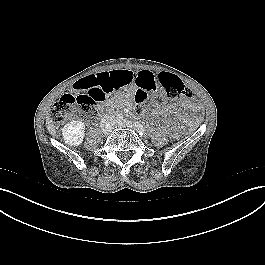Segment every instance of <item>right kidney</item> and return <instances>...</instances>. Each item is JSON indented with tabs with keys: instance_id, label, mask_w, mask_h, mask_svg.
Returning a JSON list of instances; mask_svg holds the SVG:
<instances>
[{
	"instance_id": "obj_1",
	"label": "right kidney",
	"mask_w": 265,
	"mask_h": 265,
	"mask_svg": "<svg viewBox=\"0 0 265 265\" xmlns=\"http://www.w3.org/2000/svg\"><path fill=\"white\" fill-rule=\"evenodd\" d=\"M63 139L70 146H79L85 135V125L81 121H72L62 129Z\"/></svg>"
}]
</instances>
